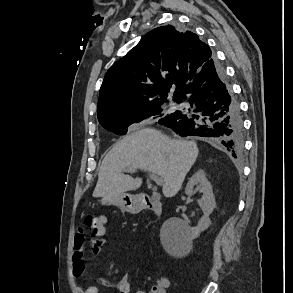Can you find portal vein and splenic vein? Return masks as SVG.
I'll return each mask as SVG.
<instances>
[{
	"mask_svg": "<svg viewBox=\"0 0 293 293\" xmlns=\"http://www.w3.org/2000/svg\"><path fill=\"white\" fill-rule=\"evenodd\" d=\"M128 171H130V172L135 171V168H130V169H128ZM149 176H150V178L152 180L155 181V183L157 185H162L163 184V179L160 176H158L157 174L150 173Z\"/></svg>",
	"mask_w": 293,
	"mask_h": 293,
	"instance_id": "1",
	"label": "portal vein and splenic vein"
}]
</instances>
